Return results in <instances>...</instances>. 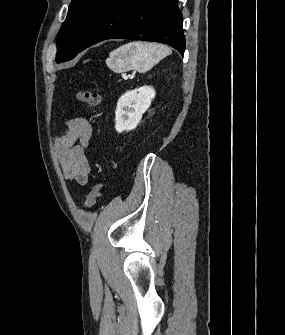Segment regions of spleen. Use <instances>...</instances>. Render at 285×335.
Returning <instances> with one entry per match:
<instances>
[{
    "label": "spleen",
    "mask_w": 285,
    "mask_h": 335,
    "mask_svg": "<svg viewBox=\"0 0 285 335\" xmlns=\"http://www.w3.org/2000/svg\"><path fill=\"white\" fill-rule=\"evenodd\" d=\"M170 48L161 44H147V42H130L111 52L110 58L114 60V68H125L126 62L130 66H137V70H150L165 56H170Z\"/></svg>",
    "instance_id": "3e777b00"
}]
</instances>
